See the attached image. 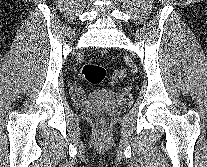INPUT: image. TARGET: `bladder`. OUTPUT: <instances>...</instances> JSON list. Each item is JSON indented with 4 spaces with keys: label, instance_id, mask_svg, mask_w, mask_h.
Masks as SVG:
<instances>
[{
    "label": "bladder",
    "instance_id": "31cf9c89",
    "mask_svg": "<svg viewBox=\"0 0 207 167\" xmlns=\"http://www.w3.org/2000/svg\"><path fill=\"white\" fill-rule=\"evenodd\" d=\"M114 96V93L109 91H97L93 92L89 95V98L93 99H105V98H111Z\"/></svg>",
    "mask_w": 207,
    "mask_h": 167
}]
</instances>
